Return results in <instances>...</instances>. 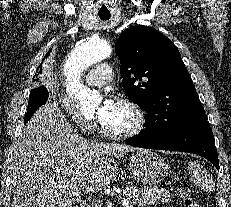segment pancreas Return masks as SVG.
<instances>
[{
    "label": "pancreas",
    "instance_id": "cf45deb5",
    "mask_svg": "<svg viewBox=\"0 0 231 207\" xmlns=\"http://www.w3.org/2000/svg\"><path fill=\"white\" fill-rule=\"evenodd\" d=\"M123 196L132 204V207H144L156 203H168L171 200V193L165 188L126 186L123 189ZM92 207H97L93 205Z\"/></svg>",
    "mask_w": 231,
    "mask_h": 207
}]
</instances>
